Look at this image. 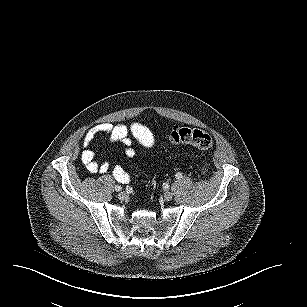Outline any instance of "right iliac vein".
I'll return each instance as SVG.
<instances>
[{"label": "right iliac vein", "mask_w": 307, "mask_h": 307, "mask_svg": "<svg viewBox=\"0 0 307 307\" xmlns=\"http://www.w3.org/2000/svg\"><path fill=\"white\" fill-rule=\"evenodd\" d=\"M126 197H127L126 192H124V191L119 192L118 198H119L120 200H125Z\"/></svg>", "instance_id": "1"}]
</instances>
